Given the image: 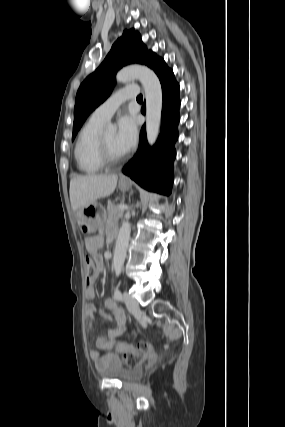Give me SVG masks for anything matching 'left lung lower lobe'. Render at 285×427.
Instances as JSON below:
<instances>
[{"label":"left lung lower lobe","instance_id":"left-lung-lower-lobe-1","mask_svg":"<svg viewBox=\"0 0 285 427\" xmlns=\"http://www.w3.org/2000/svg\"><path fill=\"white\" fill-rule=\"evenodd\" d=\"M153 70L160 79L163 94L161 133L156 145L148 146L145 125L140 132L139 150L124 167L123 173L143 188L170 195L173 184L174 143L178 138L179 85L173 71L160 59ZM145 114V104L142 107Z\"/></svg>","mask_w":285,"mask_h":427}]
</instances>
